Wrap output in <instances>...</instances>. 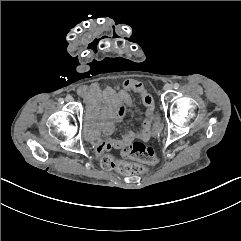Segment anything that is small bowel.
I'll list each match as a JSON object with an SVG mask.
<instances>
[{
  "mask_svg": "<svg viewBox=\"0 0 241 241\" xmlns=\"http://www.w3.org/2000/svg\"><path fill=\"white\" fill-rule=\"evenodd\" d=\"M129 91L141 94L145 107V118L141 130L135 132L128 130L119 138H110L115 131L116 124L125 117L131 103ZM78 94L85 98L88 114L89 129L88 138L101 154L110 149L125 151L135 142H147L151 137V127L156 121L155 104L153 97L143 85L134 80H128L119 91L111 87L101 89L94 84L90 87H82ZM104 135L107 138L103 139Z\"/></svg>",
  "mask_w": 241,
  "mask_h": 241,
  "instance_id": "obj_1",
  "label": "small bowel"
}]
</instances>
